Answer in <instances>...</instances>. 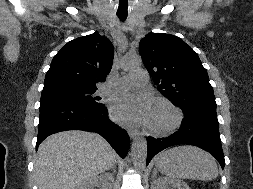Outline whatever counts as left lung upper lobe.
Segmentation results:
<instances>
[{
	"mask_svg": "<svg viewBox=\"0 0 253 189\" xmlns=\"http://www.w3.org/2000/svg\"><path fill=\"white\" fill-rule=\"evenodd\" d=\"M139 52L162 95L184 115L217 118L213 88L197 53L177 36L149 33Z\"/></svg>",
	"mask_w": 253,
	"mask_h": 189,
	"instance_id": "left-lung-upper-lobe-1",
	"label": "left lung upper lobe"
}]
</instances>
